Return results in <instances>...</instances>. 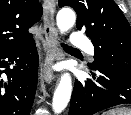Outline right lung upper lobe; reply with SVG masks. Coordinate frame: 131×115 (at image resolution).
Listing matches in <instances>:
<instances>
[{"mask_svg": "<svg viewBox=\"0 0 131 115\" xmlns=\"http://www.w3.org/2000/svg\"><path fill=\"white\" fill-rule=\"evenodd\" d=\"M42 16L38 0H0V53L28 44V32Z\"/></svg>", "mask_w": 131, "mask_h": 115, "instance_id": "1", "label": "right lung upper lobe"}]
</instances>
